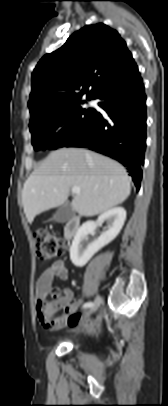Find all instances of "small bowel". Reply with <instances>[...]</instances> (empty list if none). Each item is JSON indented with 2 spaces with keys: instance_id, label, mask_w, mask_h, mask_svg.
Returning a JSON list of instances; mask_svg holds the SVG:
<instances>
[{
  "instance_id": "1",
  "label": "small bowel",
  "mask_w": 168,
  "mask_h": 406,
  "mask_svg": "<svg viewBox=\"0 0 168 406\" xmlns=\"http://www.w3.org/2000/svg\"><path fill=\"white\" fill-rule=\"evenodd\" d=\"M57 276L62 280H66L69 276L68 270L63 260L55 261L49 268H47L39 277L36 282L35 293L37 301L43 300L49 293L54 277ZM55 308H64L65 312L56 318L52 324H44L45 328L49 331H54L62 328L66 323L77 306L80 300L73 298V293L69 289H65L63 296L55 300ZM77 322V319L76 321ZM74 322V323H75Z\"/></svg>"
}]
</instances>
